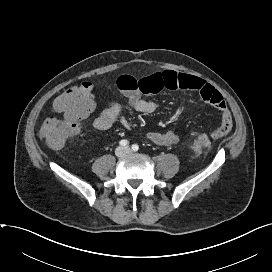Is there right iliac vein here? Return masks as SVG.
<instances>
[{"label": "right iliac vein", "instance_id": "63e3f726", "mask_svg": "<svg viewBox=\"0 0 272 272\" xmlns=\"http://www.w3.org/2000/svg\"><path fill=\"white\" fill-rule=\"evenodd\" d=\"M125 153H126V150L123 147H118L115 151V154L117 157H122L124 156Z\"/></svg>", "mask_w": 272, "mask_h": 272}]
</instances>
